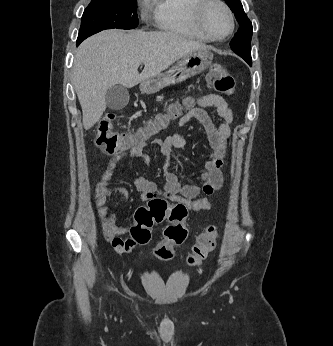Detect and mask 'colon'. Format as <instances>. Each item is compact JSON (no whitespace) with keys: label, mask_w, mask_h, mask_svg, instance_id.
<instances>
[{"label":"colon","mask_w":333,"mask_h":346,"mask_svg":"<svg viewBox=\"0 0 333 346\" xmlns=\"http://www.w3.org/2000/svg\"><path fill=\"white\" fill-rule=\"evenodd\" d=\"M215 89L225 95H231L235 88V80L226 69L214 65L211 69ZM190 100L186 101L189 106ZM182 112L180 105H171L164 113L150 119L135 132H118L113 128L114 114H108L97 126L95 143L97 147L108 154H119L131 151L146 144L152 137L165 130L172 120L177 119ZM187 210L180 204L171 205L166 200L155 198L147 205L139 207L134 213V225L130 231L136 236V245H144L151 238V228L165 220L170 222L164 231V239L154 247L155 255L161 260L173 257L174 248L182 245L187 238L184 220ZM218 238V230L208 227L199 235L193 246L188 262L198 266L212 252ZM118 239V238H117Z\"/></svg>","instance_id":"1"}]
</instances>
